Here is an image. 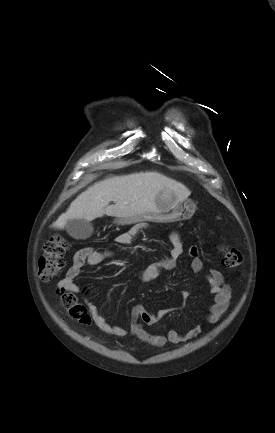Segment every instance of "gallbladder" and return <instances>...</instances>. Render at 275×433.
I'll return each mask as SVG.
<instances>
[{
    "label": "gallbladder",
    "instance_id": "1",
    "mask_svg": "<svg viewBox=\"0 0 275 433\" xmlns=\"http://www.w3.org/2000/svg\"><path fill=\"white\" fill-rule=\"evenodd\" d=\"M65 228L68 234L77 240H85L91 237L94 231L93 225L84 219L68 220Z\"/></svg>",
    "mask_w": 275,
    "mask_h": 433
}]
</instances>
